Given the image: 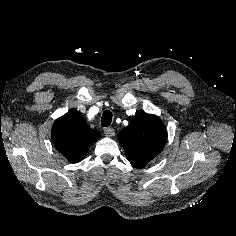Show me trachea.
<instances>
[{
	"mask_svg": "<svg viewBox=\"0 0 236 236\" xmlns=\"http://www.w3.org/2000/svg\"><path fill=\"white\" fill-rule=\"evenodd\" d=\"M112 122V113L109 110H106L103 112L102 118H101V126L108 127L110 126Z\"/></svg>",
	"mask_w": 236,
	"mask_h": 236,
	"instance_id": "3493384b",
	"label": "trachea"
}]
</instances>
